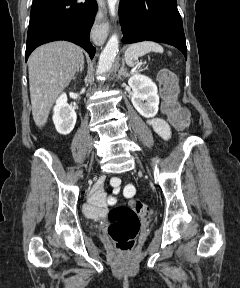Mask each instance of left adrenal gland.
I'll return each instance as SVG.
<instances>
[{
	"label": "left adrenal gland",
	"mask_w": 240,
	"mask_h": 288,
	"mask_svg": "<svg viewBox=\"0 0 240 288\" xmlns=\"http://www.w3.org/2000/svg\"><path fill=\"white\" fill-rule=\"evenodd\" d=\"M121 76H123V77H128L129 76V73L127 72V70L125 68L124 59H122V65H121L120 70L118 71V79H120Z\"/></svg>",
	"instance_id": "a2214340"
}]
</instances>
